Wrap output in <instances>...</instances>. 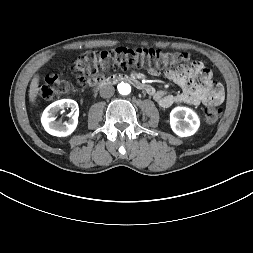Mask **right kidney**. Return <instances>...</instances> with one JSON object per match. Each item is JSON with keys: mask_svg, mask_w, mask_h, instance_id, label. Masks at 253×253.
Returning <instances> with one entry per match:
<instances>
[{"mask_svg": "<svg viewBox=\"0 0 253 253\" xmlns=\"http://www.w3.org/2000/svg\"><path fill=\"white\" fill-rule=\"evenodd\" d=\"M69 107L72 110V117L70 120L62 123L55 121V114L60 109ZM78 104L71 99H62L50 104L43 112L41 122L44 129L53 136L64 137L70 135L78 124Z\"/></svg>", "mask_w": 253, "mask_h": 253, "instance_id": "right-kidney-1", "label": "right kidney"}]
</instances>
